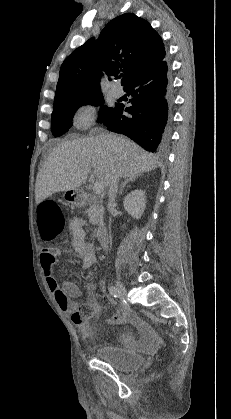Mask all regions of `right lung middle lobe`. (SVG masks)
<instances>
[{"label":"right lung middle lobe","mask_w":231,"mask_h":419,"mask_svg":"<svg viewBox=\"0 0 231 419\" xmlns=\"http://www.w3.org/2000/svg\"><path fill=\"white\" fill-rule=\"evenodd\" d=\"M103 103L104 99L101 92L55 102L52 112V134L54 137H58L66 133L72 126L74 113L82 105L100 106ZM113 109L105 105L101 106L98 122H101Z\"/></svg>","instance_id":"1"}]
</instances>
